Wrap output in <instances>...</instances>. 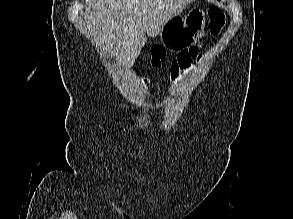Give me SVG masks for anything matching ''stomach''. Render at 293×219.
Here are the masks:
<instances>
[{"mask_svg": "<svg viewBox=\"0 0 293 219\" xmlns=\"http://www.w3.org/2000/svg\"><path fill=\"white\" fill-rule=\"evenodd\" d=\"M206 23L205 12L191 8L185 17L175 16L160 29L161 42L171 50H184L203 37Z\"/></svg>", "mask_w": 293, "mask_h": 219, "instance_id": "1", "label": "stomach"}]
</instances>
